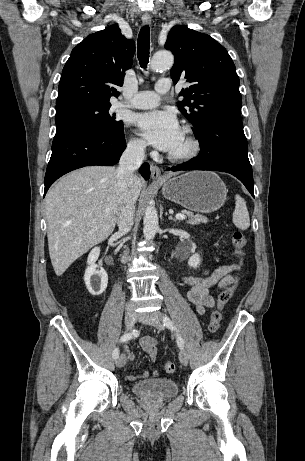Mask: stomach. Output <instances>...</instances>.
<instances>
[{"label": "stomach", "instance_id": "1", "mask_svg": "<svg viewBox=\"0 0 305 461\" xmlns=\"http://www.w3.org/2000/svg\"><path fill=\"white\" fill-rule=\"evenodd\" d=\"M164 197L188 210L209 213L223 206L227 190L211 171H191L160 183Z\"/></svg>", "mask_w": 305, "mask_h": 461}]
</instances>
